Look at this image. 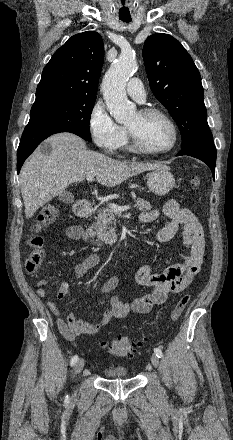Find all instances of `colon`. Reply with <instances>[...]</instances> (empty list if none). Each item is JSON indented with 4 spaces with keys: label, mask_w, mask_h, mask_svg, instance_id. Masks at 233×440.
I'll use <instances>...</instances> for the list:
<instances>
[{
    "label": "colon",
    "mask_w": 233,
    "mask_h": 440,
    "mask_svg": "<svg viewBox=\"0 0 233 440\" xmlns=\"http://www.w3.org/2000/svg\"><path fill=\"white\" fill-rule=\"evenodd\" d=\"M189 183L193 189H196L200 186L201 179L198 175H193L191 176ZM58 214L59 210L56 206L48 205L43 207L37 216V222L33 228V233L27 240L30 252L25 266L27 272L30 274H36L38 272L44 258L43 239L36 233L52 224L57 219ZM189 301V295H184L180 298L171 311V321H176L182 315ZM100 345L107 348L110 354L121 358H132L136 351L135 345L122 333H118L117 337L111 342L101 341ZM141 345L142 342L137 343V346Z\"/></svg>",
    "instance_id": "colon-1"
}]
</instances>
